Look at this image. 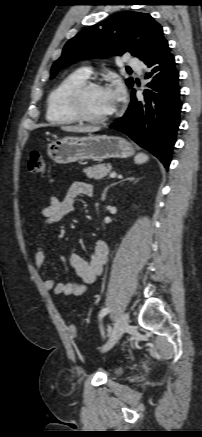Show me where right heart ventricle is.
<instances>
[{
    "instance_id": "obj_1",
    "label": "right heart ventricle",
    "mask_w": 202,
    "mask_h": 437,
    "mask_svg": "<svg viewBox=\"0 0 202 437\" xmlns=\"http://www.w3.org/2000/svg\"><path fill=\"white\" fill-rule=\"evenodd\" d=\"M88 79L83 70H76L65 76L49 93L46 106V118L57 125L73 124L78 120L71 114L67 106L70 91Z\"/></svg>"
}]
</instances>
